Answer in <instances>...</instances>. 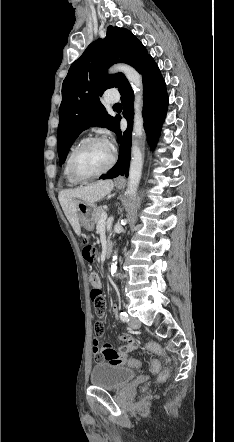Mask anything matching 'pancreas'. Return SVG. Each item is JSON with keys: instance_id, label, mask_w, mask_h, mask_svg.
<instances>
[{"instance_id": "pancreas-1", "label": "pancreas", "mask_w": 234, "mask_h": 442, "mask_svg": "<svg viewBox=\"0 0 234 442\" xmlns=\"http://www.w3.org/2000/svg\"><path fill=\"white\" fill-rule=\"evenodd\" d=\"M105 209H106V206H104V205H101V206H99V207L96 209V212H95V215H94V220H95V223H96V224H98V223L100 222V220H101V215H102V213L105 212Z\"/></svg>"}]
</instances>
